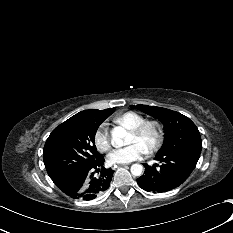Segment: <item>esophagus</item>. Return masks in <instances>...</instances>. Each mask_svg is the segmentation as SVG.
<instances>
[{"label":"esophagus","instance_id":"1","mask_svg":"<svg viewBox=\"0 0 233 233\" xmlns=\"http://www.w3.org/2000/svg\"><path fill=\"white\" fill-rule=\"evenodd\" d=\"M126 164H119V166H125Z\"/></svg>","mask_w":233,"mask_h":233}]
</instances>
